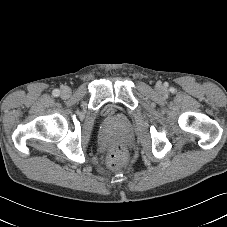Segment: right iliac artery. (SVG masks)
Wrapping results in <instances>:
<instances>
[{
  "label": "right iliac artery",
  "instance_id": "right-iliac-artery-1",
  "mask_svg": "<svg viewBox=\"0 0 227 227\" xmlns=\"http://www.w3.org/2000/svg\"><path fill=\"white\" fill-rule=\"evenodd\" d=\"M53 96L58 97L60 95V91L58 89L53 90Z\"/></svg>",
  "mask_w": 227,
  "mask_h": 227
}]
</instances>
